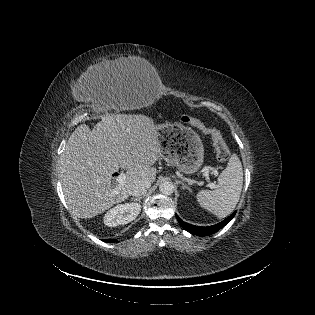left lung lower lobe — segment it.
<instances>
[{
    "mask_svg": "<svg viewBox=\"0 0 315 315\" xmlns=\"http://www.w3.org/2000/svg\"><path fill=\"white\" fill-rule=\"evenodd\" d=\"M236 212H234L232 215H230L228 218H226L225 220H223L222 222L213 225V226H207V227H201V226H195V225H191L188 224L186 222H184L183 220H181L178 216L177 219L179 221V223L181 224V226L188 232L194 234V235H198V236H209L215 232H217L219 229H221L222 227H224L226 224H228V222H230L232 220V218L234 217Z\"/></svg>",
    "mask_w": 315,
    "mask_h": 315,
    "instance_id": "left-lung-lower-lobe-1",
    "label": "left lung lower lobe"
}]
</instances>
